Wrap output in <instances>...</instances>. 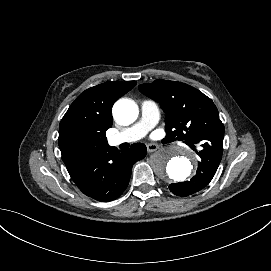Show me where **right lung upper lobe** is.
<instances>
[{
  "label": "right lung upper lobe",
  "instance_id": "obj_1",
  "mask_svg": "<svg viewBox=\"0 0 271 271\" xmlns=\"http://www.w3.org/2000/svg\"><path fill=\"white\" fill-rule=\"evenodd\" d=\"M136 81L105 82L82 92L71 104L59 125V147L68 168L91 157L79 145L82 133L104 134L112 126L114 102L130 91Z\"/></svg>",
  "mask_w": 271,
  "mask_h": 271
}]
</instances>
